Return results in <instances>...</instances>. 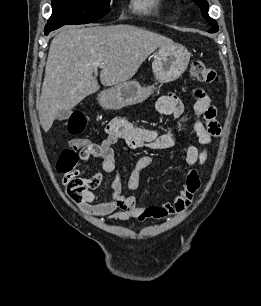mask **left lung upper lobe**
Segmentation results:
<instances>
[{"label":"left lung upper lobe","instance_id":"left-lung-upper-lobe-1","mask_svg":"<svg viewBox=\"0 0 261 306\" xmlns=\"http://www.w3.org/2000/svg\"><path fill=\"white\" fill-rule=\"evenodd\" d=\"M194 2L200 7L201 11H202V15L203 17L205 18V20L212 26L210 29H209V33H215L218 31V24L217 22L211 18L209 15H208V3L206 1H202V0H194Z\"/></svg>","mask_w":261,"mask_h":306}]
</instances>
